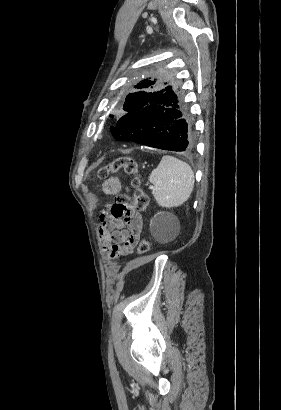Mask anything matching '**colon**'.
Masks as SVG:
<instances>
[{
  "label": "colon",
  "instance_id": "colon-1",
  "mask_svg": "<svg viewBox=\"0 0 281 410\" xmlns=\"http://www.w3.org/2000/svg\"><path fill=\"white\" fill-rule=\"evenodd\" d=\"M131 177L132 186L134 188L133 197L130 198L125 195L118 196L111 206L110 213L116 217L130 216L135 212H143L148 206V195L141 185V177L136 161L130 157H120L108 165L98 169L96 176L99 179H105L110 174L118 171ZM150 251L149 241L143 239L138 245V253L143 256Z\"/></svg>",
  "mask_w": 281,
  "mask_h": 410
}]
</instances>
